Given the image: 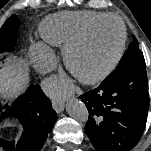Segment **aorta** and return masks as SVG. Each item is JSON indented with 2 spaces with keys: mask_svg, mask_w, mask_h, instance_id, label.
Wrapping results in <instances>:
<instances>
[{
  "mask_svg": "<svg viewBox=\"0 0 151 151\" xmlns=\"http://www.w3.org/2000/svg\"><path fill=\"white\" fill-rule=\"evenodd\" d=\"M66 111L73 119L79 122H87L89 118V112L85 104L76 98H71L66 104Z\"/></svg>",
  "mask_w": 151,
  "mask_h": 151,
  "instance_id": "aorta-1",
  "label": "aorta"
}]
</instances>
